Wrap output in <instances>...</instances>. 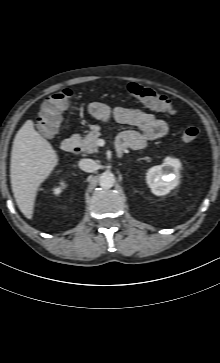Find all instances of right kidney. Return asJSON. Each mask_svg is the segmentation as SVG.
I'll use <instances>...</instances> for the list:
<instances>
[{"label": "right kidney", "instance_id": "obj_1", "mask_svg": "<svg viewBox=\"0 0 220 363\" xmlns=\"http://www.w3.org/2000/svg\"><path fill=\"white\" fill-rule=\"evenodd\" d=\"M65 187L66 184L63 181H61L60 186L53 188V193L55 195H59Z\"/></svg>", "mask_w": 220, "mask_h": 363}]
</instances>
